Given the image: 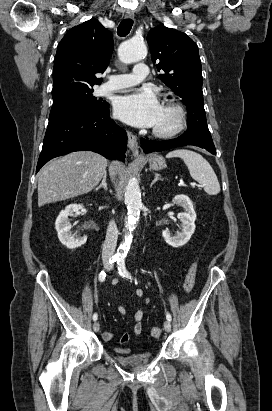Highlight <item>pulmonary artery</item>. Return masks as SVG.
<instances>
[{"label":"pulmonary artery","mask_w":272,"mask_h":411,"mask_svg":"<svg viewBox=\"0 0 272 411\" xmlns=\"http://www.w3.org/2000/svg\"><path fill=\"white\" fill-rule=\"evenodd\" d=\"M148 75V68L144 63L135 65L132 73L118 74L110 77L109 81L100 87V94L104 95L109 92L118 91L123 88L132 87L144 79Z\"/></svg>","instance_id":"obj_1"}]
</instances>
